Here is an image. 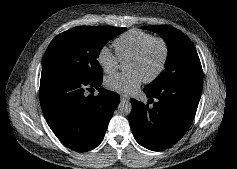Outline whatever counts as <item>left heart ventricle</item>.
Here are the masks:
<instances>
[{
	"label": "left heart ventricle",
	"mask_w": 237,
	"mask_h": 169,
	"mask_svg": "<svg viewBox=\"0 0 237 169\" xmlns=\"http://www.w3.org/2000/svg\"><path fill=\"white\" fill-rule=\"evenodd\" d=\"M162 55V46L159 43H154L149 47L142 58L128 60L126 70L136 71L142 79H145L156 71L161 62Z\"/></svg>",
	"instance_id": "1"
}]
</instances>
